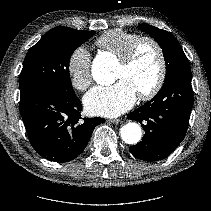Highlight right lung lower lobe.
<instances>
[{
	"label": "right lung lower lobe",
	"instance_id": "1",
	"mask_svg": "<svg viewBox=\"0 0 211 211\" xmlns=\"http://www.w3.org/2000/svg\"><path fill=\"white\" fill-rule=\"evenodd\" d=\"M20 114L29 141L42 157L68 162L85 149L93 129L103 118L81 120L82 105L74 94L40 89L20 98Z\"/></svg>",
	"mask_w": 211,
	"mask_h": 211
}]
</instances>
